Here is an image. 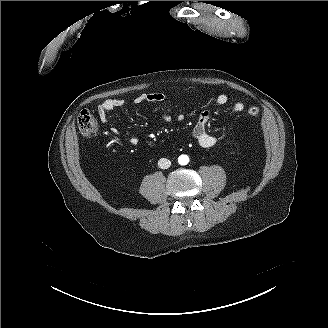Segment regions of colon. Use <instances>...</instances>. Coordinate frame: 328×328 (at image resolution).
Returning <instances> with one entry per match:
<instances>
[{
    "mask_svg": "<svg viewBox=\"0 0 328 328\" xmlns=\"http://www.w3.org/2000/svg\"><path fill=\"white\" fill-rule=\"evenodd\" d=\"M247 114L251 117H255L259 114V108L256 106H251L248 108ZM77 125L80 132L86 137H92L97 132V121L95 117L86 110L79 114Z\"/></svg>",
    "mask_w": 328,
    "mask_h": 328,
    "instance_id": "1",
    "label": "colon"
}]
</instances>
